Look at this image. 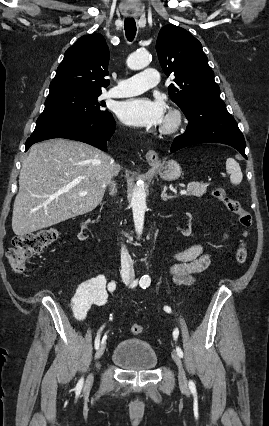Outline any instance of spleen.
Masks as SVG:
<instances>
[{"label": "spleen", "instance_id": "1", "mask_svg": "<svg viewBox=\"0 0 269 426\" xmlns=\"http://www.w3.org/2000/svg\"><path fill=\"white\" fill-rule=\"evenodd\" d=\"M226 171L230 174V182L233 185H238L242 182L243 174L237 161L233 158L226 160Z\"/></svg>", "mask_w": 269, "mask_h": 426}]
</instances>
